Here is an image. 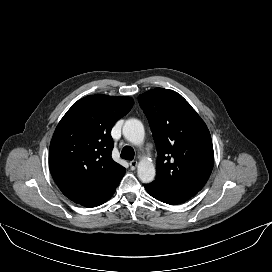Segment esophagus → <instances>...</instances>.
Returning a JSON list of instances; mask_svg holds the SVG:
<instances>
[{
    "instance_id": "34e87169",
    "label": "esophagus",
    "mask_w": 272,
    "mask_h": 272,
    "mask_svg": "<svg viewBox=\"0 0 272 272\" xmlns=\"http://www.w3.org/2000/svg\"><path fill=\"white\" fill-rule=\"evenodd\" d=\"M129 165H130L131 170H135L136 167H137V165H138V163H137V161L133 160V161L129 162Z\"/></svg>"
}]
</instances>
